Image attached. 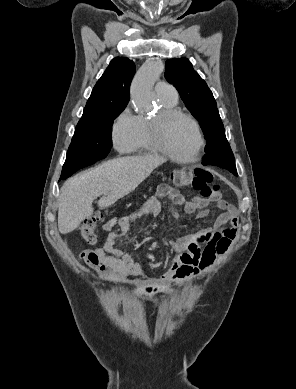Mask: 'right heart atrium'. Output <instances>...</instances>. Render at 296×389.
I'll list each match as a JSON object with an SVG mask.
<instances>
[{
    "label": "right heart atrium",
    "instance_id": "1",
    "mask_svg": "<svg viewBox=\"0 0 296 389\" xmlns=\"http://www.w3.org/2000/svg\"><path fill=\"white\" fill-rule=\"evenodd\" d=\"M137 127V116L126 107L114 120L111 137L114 147L120 152H128L133 145Z\"/></svg>",
    "mask_w": 296,
    "mask_h": 389
}]
</instances>
